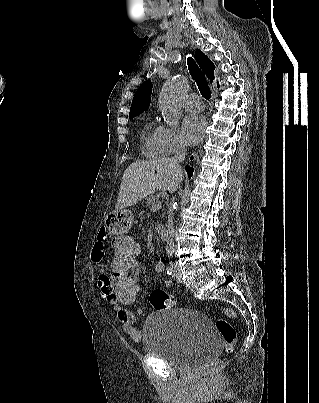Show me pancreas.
<instances>
[{
	"mask_svg": "<svg viewBox=\"0 0 319 403\" xmlns=\"http://www.w3.org/2000/svg\"><path fill=\"white\" fill-rule=\"evenodd\" d=\"M156 203H158V198H156L155 196L149 195L148 197H146V206L152 208L156 205Z\"/></svg>",
	"mask_w": 319,
	"mask_h": 403,
	"instance_id": "1",
	"label": "pancreas"
}]
</instances>
